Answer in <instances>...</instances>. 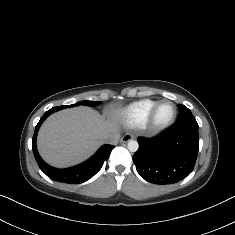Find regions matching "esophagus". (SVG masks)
I'll use <instances>...</instances> for the list:
<instances>
[{
    "label": "esophagus",
    "mask_w": 235,
    "mask_h": 235,
    "mask_svg": "<svg viewBox=\"0 0 235 235\" xmlns=\"http://www.w3.org/2000/svg\"><path fill=\"white\" fill-rule=\"evenodd\" d=\"M135 136L131 133H126L121 139L120 142L121 143H127L129 140L134 139Z\"/></svg>",
    "instance_id": "1"
}]
</instances>
